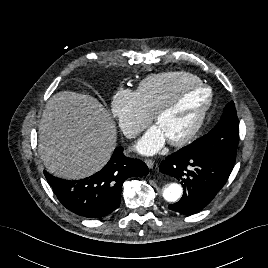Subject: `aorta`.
Masks as SVG:
<instances>
[{"label":"aorta","instance_id":"762f6f07","mask_svg":"<svg viewBox=\"0 0 268 268\" xmlns=\"http://www.w3.org/2000/svg\"><path fill=\"white\" fill-rule=\"evenodd\" d=\"M182 186L178 183L166 184L163 188V198L168 202H176L182 195Z\"/></svg>","mask_w":268,"mask_h":268}]
</instances>
